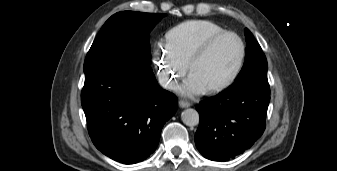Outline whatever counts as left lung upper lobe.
Wrapping results in <instances>:
<instances>
[{
    "label": "left lung upper lobe",
    "instance_id": "5c2ea615",
    "mask_svg": "<svg viewBox=\"0 0 337 171\" xmlns=\"http://www.w3.org/2000/svg\"><path fill=\"white\" fill-rule=\"evenodd\" d=\"M246 60L234 83L228 88L250 83L268 84L267 60L259 43L252 33L245 28Z\"/></svg>",
    "mask_w": 337,
    "mask_h": 171
}]
</instances>
